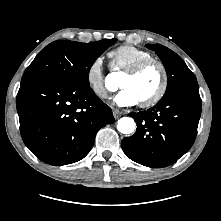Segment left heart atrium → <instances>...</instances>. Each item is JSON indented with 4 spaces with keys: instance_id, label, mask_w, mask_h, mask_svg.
Masks as SVG:
<instances>
[{
    "instance_id": "obj_1",
    "label": "left heart atrium",
    "mask_w": 221,
    "mask_h": 221,
    "mask_svg": "<svg viewBox=\"0 0 221 221\" xmlns=\"http://www.w3.org/2000/svg\"><path fill=\"white\" fill-rule=\"evenodd\" d=\"M119 106H133L139 103L137 96L128 88H122L115 97Z\"/></svg>"
}]
</instances>
